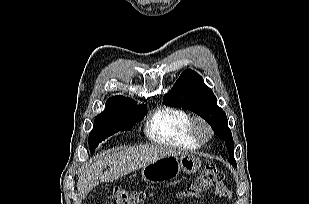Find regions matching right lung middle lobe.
<instances>
[{
    "label": "right lung middle lobe",
    "instance_id": "right-lung-middle-lobe-1",
    "mask_svg": "<svg viewBox=\"0 0 309 204\" xmlns=\"http://www.w3.org/2000/svg\"><path fill=\"white\" fill-rule=\"evenodd\" d=\"M146 105H136L133 101H120L106 105V109L94 120L89 134V147L93 153L98 144L109 136L130 130L146 114Z\"/></svg>",
    "mask_w": 309,
    "mask_h": 204
}]
</instances>
